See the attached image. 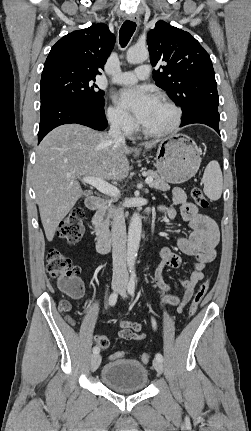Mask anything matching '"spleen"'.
I'll use <instances>...</instances> for the list:
<instances>
[{"label": "spleen", "mask_w": 251, "mask_h": 431, "mask_svg": "<svg viewBox=\"0 0 251 431\" xmlns=\"http://www.w3.org/2000/svg\"><path fill=\"white\" fill-rule=\"evenodd\" d=\"M204 193L210 200H218L223 188V177L217 161H211L203 174Z\"/></svg>", "instance_id": "obj_1"}]
</instances>
